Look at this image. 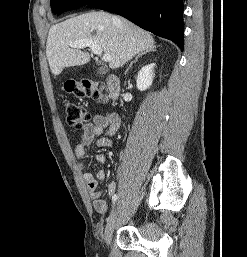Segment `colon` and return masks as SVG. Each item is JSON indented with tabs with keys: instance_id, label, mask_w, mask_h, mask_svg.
<instances>
[{
	"instance_id": "colon-1",
	"label": "colon",
	"mask_w": 247,
	"mask_h": 257,
	"mask_svg": "<svg viewBox=\"0 0 247 257\" xmlns=\"http://www.w3.org/2000/svg\"><path fill=\"white\" fill-rule=\"evenodd\" d=\"M65 91L77 99L92 98L100 102H106L104 87L101 83L88 78L80 81H68L64 85ZM64 110L67 123L76 129L83 128L91 119L90 112L83 106L74 102L66 101Z\"/></svg>"
}]
</instances>
